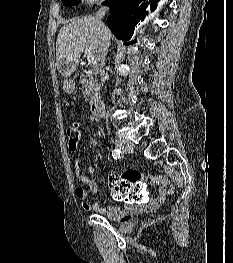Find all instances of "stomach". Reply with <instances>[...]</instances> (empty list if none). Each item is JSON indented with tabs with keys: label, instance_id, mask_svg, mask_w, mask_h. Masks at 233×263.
Instances as JSON below:
<instances>
[{
	"label": "stomach",
	"instance_id": "1",
	"mask_svg": "<svg viewBox=\"0 0 233 263\" xmlns=\"http://www.w3.org/2000/svg\"><path fill=\"white\" fill-rule=\"evenodd\" d=\"M74 88H75V84L72 80H68L65 82L64 84V90L67 92V93H72L74 91Z\"/></svg>",
	"mask_w": 233,
	"mask_h": 263
}]
</instances>
